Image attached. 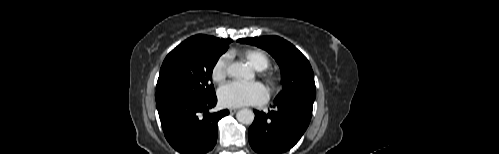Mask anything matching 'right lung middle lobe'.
Wrapping results in <instances>:
<instances>
[{
  "label": "right lung middle lobe",
  "mask_w": 499,
  "mask_h": 154,
  "mask_svg": "<svg viewBox=\"0 0 499 154\" xmlns=\"http://www.w3.org/2000/svg\"><path fill=\"white\" fill-rule=\"evenodd\" d=\"M229 43L187 39L179 44L162 64L156 86V103L179 98L202 101L214 96L212 71Z\"/></svg>",
  "instance_id": "obj_1"
}]
</instances>
